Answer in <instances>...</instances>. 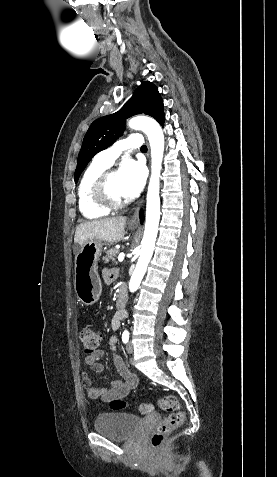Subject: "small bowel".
<instances>
[{"instance_id": "obj_1", "label": "small bowel", "mask_w": 277, "mask_h": 477, "mask_svg": "<svg viewBox=\"0 0 277 477\" xmlns=\"http://www.w3.org/2000/svg\"><path fill=\"white\" fill-rule=\"evenodd\" d=\"M117 276V271L115 269H105L103 270V278L107 283H111L115 280ZM124 314L118 313L114 315L111 320V328L116 331L119 329ZM117 336L113 335L109 339L110 349L113 353V362L114 366L121 376L120 380H113L110 383V387H95L93 386L90 378L86 373L83 374V384L87 391V394L92 399H99L104 402H111L115 399H122L127 396L137 385L138 379L135 374L131 373L126 365L123 363L121 357L116 352ZM105 352L103 350H97L92 355H87L85 357V363L89 366L92 371L100 373L103 371L104 367L100 360L104 357Z\"/></svg>"}]
</instances>
